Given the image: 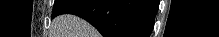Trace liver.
<instances>
[{"label":"liver","mask_w":219,"mask_h":37,"mask_svg":"<svg viewBox=\"0 0 219 37\" xmlns=\"http://www.w3.org/2000/svg\"><path fill=\"white\" fill-rule=\"evenodd\" d=\"M54 37H97V31L83 19L74 15H60L52 24Z\"/></svg>","instance_id":"obj_1"}]
</instances>
